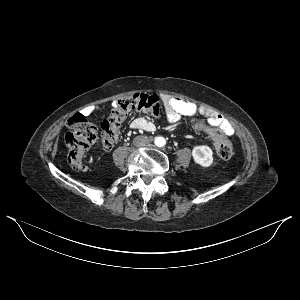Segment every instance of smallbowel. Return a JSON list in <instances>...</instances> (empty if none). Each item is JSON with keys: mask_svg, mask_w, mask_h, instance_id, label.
Wrapping results in <instances>:
<instances>
[{"mask_svg": "<svg viewBox=\"0 0 300 300\" xmlns=\"http://www.w3.org/2000/svg\"><path fill=\"white\" fill-rule=\"evenodd\" d=\"M162 100L166 107V118L169 122L177 121L181 116L201 114L207 118L210 126L217 127L224 136L234 134V128L231 123L224 119L219 113L206 106H199L193 102L169 95H164ZM94 112L95 109L93 107H86L80 115L88 117ZM131 127L149 132L155 129L154 124L143 117L133 120Z\"/></svg>", "mask_w": 300, "mask_h": 300, "instance_id": "c3829d8e", "label": "small bowel"}]
</instances>
